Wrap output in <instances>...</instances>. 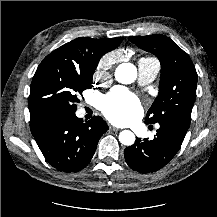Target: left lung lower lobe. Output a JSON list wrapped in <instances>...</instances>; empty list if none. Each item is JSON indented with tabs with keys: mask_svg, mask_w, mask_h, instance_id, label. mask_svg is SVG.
<instances>
[{
	"mask_svg": "<svg viewBox=\"0 0 217 217\" xmlns=\"http://www.w3.org/2000/svg\"><path fill=\"white\" fill-rule=\"evenodd\" d=\"M159 124L153 140L136 138L135 143L124 150L131 169L140 173L157 171L168 164L180 149L189 127L172 120Z\"/></svg>",
	"mask_w": 217,
	"mask_h": 217,
	"instance_id": "1",
	"label": "left lung lower lobe"
}]
</instances>
